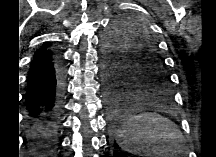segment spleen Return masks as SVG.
Masks as SVG:
<instances>
[{
	"label": "spleen",
	"instance_id": "obj_1",
	"mask_svg": "<svg viewBox=\"0 0 216 157\" xmlns=\"http://www.w3.org/2000/svg\"><path fill=\"white\" fill-rule=\"evenodd\" d=\"M181 139L168 119L149 112L130 117L117 134L119 147L139 156L172 151Z\"/></svg>",
	"mask_w": 216,
	"mask_h": 157
}]
</instances>
